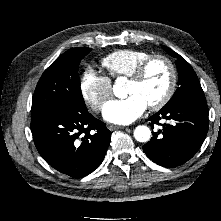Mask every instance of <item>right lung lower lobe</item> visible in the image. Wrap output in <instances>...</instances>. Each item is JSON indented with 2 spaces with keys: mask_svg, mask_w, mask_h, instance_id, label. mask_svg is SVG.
<instances>
[{
  "mask_svg": "<svg viewBox=\"0 0 221 221\" xmlns=\"http://www.w3.org/2000/svg\"><path fill=\"white\" fill-rule=\"evenodd\" d=\"M105 123L87 109L63 107L31 117L35 146L53 168L74 178L94 171L111 139Z\"/></svg>",
  "mask_w": 221,
  "mask_h": 221,
  "instance_id": "98d812e1",
  "label": "right lung lower lobe"
}]
</instances>
